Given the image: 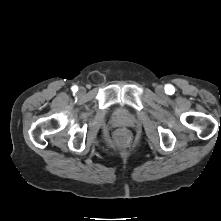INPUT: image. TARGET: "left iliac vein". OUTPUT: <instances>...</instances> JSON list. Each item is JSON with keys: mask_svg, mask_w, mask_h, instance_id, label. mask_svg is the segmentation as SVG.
<instances>
[{"mask_svg": "<svg viewBox=\"0 0 221 221\" xmlns=\"http://www.w3.org/2000/svg\"><path fill=\"white\" fill-rule=\"evenodd\" d=\"M156 93L159 95V96H164V88L162 86H157L156 87Z\"/></svg>", "mask_w": 221, "mask_h": 221, "instance_id": "left-iliac-vein-1", "label": "left iliac vein"}]
</instances>
